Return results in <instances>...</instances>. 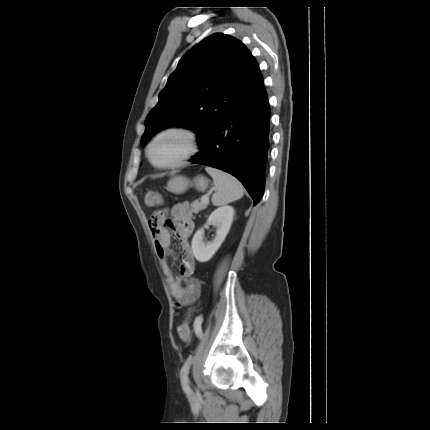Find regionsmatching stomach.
<instances>
[{"label": "stomach", "instance_id": "obj_1", "mask_svg": "<svg viewBox=\"0 0 430 430\" xmlns=\"http://www.w3.org/2000/svg\"><path fill=\"white\" fill-rule=\"evenodd\" d=\"M191 186L204 191L208 186V181L203 176H197L193 181H190L186 177L178 175L168 181L167 189L173 194H182Z\"/></svg>", "mask_w": 430, "mask_h": 430}]
</instances>
